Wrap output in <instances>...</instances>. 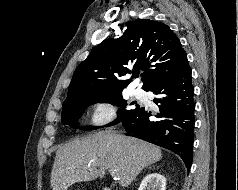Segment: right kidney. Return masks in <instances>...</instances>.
Masks as SVG:
<instances>
[{
  "label": "right kidney",
  "mask_w": 238,
  "mask_h": 190,
  "mask_svg": "<svg viewBox=\"0 0 238 190\" xmlns=\"http://www.w3.org/2000/svg\"><path fill=\"white\" fill-rule=\"evenodd\" d=\"M138 190H166V179L159 173L148 174L142 180Z\"/></svg>",
  "instance_id": "obj_1"
}]
</instances>
